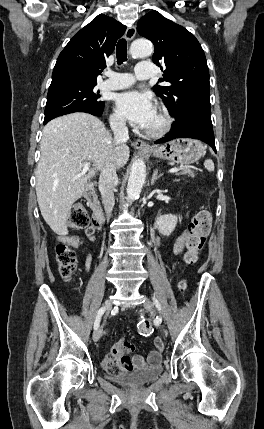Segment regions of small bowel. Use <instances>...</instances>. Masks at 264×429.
Instances as JSON below:
<instances>
[{"label": "small bowel", "instance_id": "c3829d8e", "mask_svg": "<svg viewBox=\"0 0 264 429\" xmlns=\"http://www.w3.org/2000/svg\"><path fill=\"white\" fill-rule=\"evenodd\" d=\"M100 229V224L97 223L95 220L92 222V224L86 229L85 234L87 238L91 242L96 241V235ZM188 239V232L184 231L182 234H180L173 242V251L175 254L180 253L184 245ZM60 241H64L66 244L73 246V247H81L85 246V240L82 237L79 236H60ZM155 242L158 246H163V241L156 237ZM92 264V256L90 253L87 254L86 262H85V269L88 271ZM134 350V346L126 341L119 340L116 342L110 352L109 356L112 359H115L124 369L125 372L132 371L134 369H144L147 366H152L157 364L161 361V350H153L151 351L147 358H143L141 355H133L130 357L128 353L132 352Z\"/></svg>", "mask_w": 264, "mask_h": 429}]
</instances>
